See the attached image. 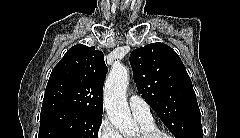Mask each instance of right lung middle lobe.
<instances>
[{"mask_svg": "<svg viewBox=\"0 0 240 138\" xmlns=\"http://www.w3.org/2000/svg\"><path fill=\"white\" fill-rule=\"evenodd\" d=\"M102 116L54 112L40 116L38 138H97Z\"/></svg>", "mask_w": 240, "mask_h": 138, "instance_id": "right-lung-middle-lobe-1", "label": "right lung middle lobe"}]
</instances>
